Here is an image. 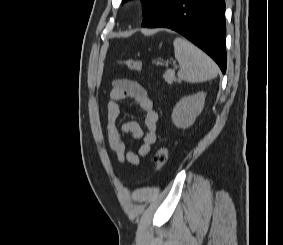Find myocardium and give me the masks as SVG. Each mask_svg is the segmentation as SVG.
Returning a JSON list of instances; mask_svg holds the SVG:
<instances>
[{
  "instance_id": "obj_1",
  "label": "myocardium",
  "mask_w": 283,
  "mask_h": 245,
  "mask_svg": "<svg viewBox=\"0 0 283 245\" xmlns=\"http://www.w3.org/2000/svg\"><path fill=\"white\" fill-rule=\"evenodd\" d=\"M142 2H143V0H135V3H136L137 5H140Z\"/></svg>"
}]
</instances>
